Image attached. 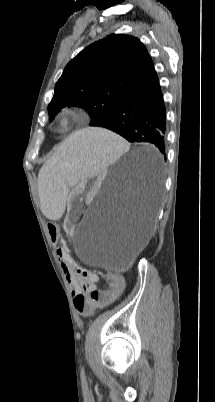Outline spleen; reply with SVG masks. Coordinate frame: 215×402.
I'll return each mask as SVG.
<instances>
[{
  "instance_id": "3e777b00",
  "label": "spleen",
  "mask_w": 215,
  "mask_h": 402,
  "mask_svg": "<svg viewBox=\"0 0 215 402\" xmlns=\"http://www.w3.org/2000/svg\"><path fill=\"white\" fill-rule=\"evenodd\" d=\"M129 146L107 128H78L55 151L42 169L39 183L42 202L40 208L51 219L62 216L65 208V191L94 175L115 161ZM64 186V188H63Z\"/></svg>"
}]
</instances>
